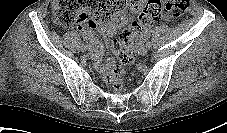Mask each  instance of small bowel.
<instances>
[{
	"label": "small bowel",
	"instance_id": "1",
	"mask_svg": "<svg viewBox=\"0 0 227 133\" xmlns=\"http://www.w3.org/2000/svg\"><path fill=\"white\" fill-rule=\"evenodd\" d=\"M142 4V0H129L127 5H130L132 9H137ZM93 28L94 27H85V26H79V30L81 32V35L83 38L90 43L92 48L95 51V59L97 62L100 61L101 57V50H100V45L98 41L94 38L93 35ZM101 31L107 35H112L114 34L118 29H122L123 33L129 31L130 29L125 28V17L120 11L118 12L116 18L114 19L113 22L109 24H104L100 27ZM145 31H143L137 39L142 38L145 34Z\"/></svg>",
	"mask_w": 227,
	"mask_h": 133
}]
</instances>
